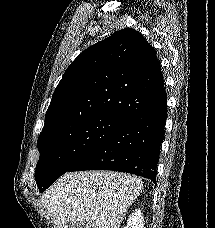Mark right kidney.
<instances>
[{
    "mask_svg": "<svg viewBox=\"0 0 215 228\" xmlns=\"http://www.w3.org/2000/svg\"><path fill=\"white\" fill-rule=\"evenodd\" d=\"M126 228H144V218L141 210H134L127 220Z\"/></svg>",
    "mask_w": 215,
    "mask_h": 228,
    "instance_id": "obj_1",
    "label": "right kidney"
}]
</instances>
